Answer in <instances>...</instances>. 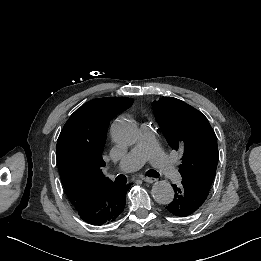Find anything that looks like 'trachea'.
<instances>
[{
  "label": "trachea",
  "instance_id": "3493384b",
  "mask_svg": "<svg viewBox=\"0 0 261 261\" xmlns=\"http://www.w3.org/2000/svg\"><path fill=\"white\" fill-rule=\"evenodd\" d=\"M146 175L153 178H159V173L153 169L148 170ZM115 182L119 184H125L127 182V178L126 176L120 174L116 177Z\"/></svg>",
  "mask_w": 261,
  "mask_h": 261
}]
</instances>
